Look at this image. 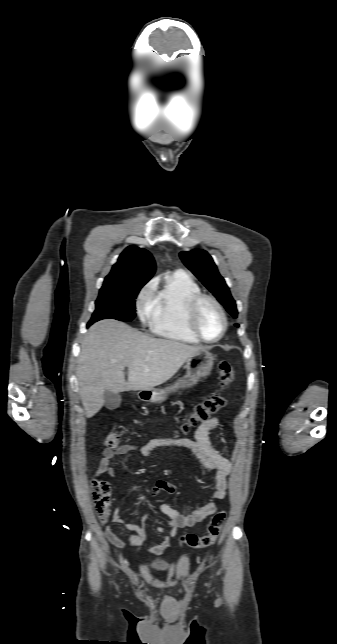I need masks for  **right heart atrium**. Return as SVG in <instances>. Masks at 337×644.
<instances>
[{
    "instance_id": "obj_1",
    "label": "right heart atrium",
    "mask_w": 337,
    "mask_h": 644,
    "mask_svg": "<svg viewBox=\"0 0 337 644\" xmlns=\"http://www.w3.org/2000/svg\"><path fill=\"white\" fill-rule=\"evenodd\" d=\"M155 287V282L151 281L148 283L139 293L137 298V309L138 314L142 321H147L150 319L152 314V293Z\"/></svg>"
}]
</instances>
